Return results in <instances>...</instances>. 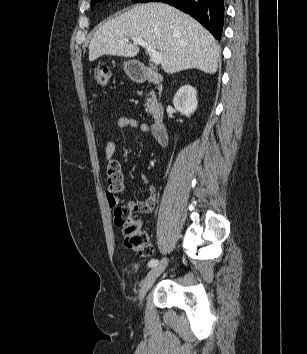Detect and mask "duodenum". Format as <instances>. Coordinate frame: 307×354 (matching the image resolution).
I'll use <instances>...</instances> for the list:
<instances>
[{"instance_id":"obj_1","label":"duodenum","mask_w":307,"mask_h":354,"mask_svg":"<svg viewBox=\"0 0 307 354\" xmlns=\"http://www.w3.org/2000/svg\"><path fill=\"white\" fill-rule=\"evenodd\" d=\"M133 77L137 82H151L160 84L162 82L161 75L152 68L145 67L141 71L133 73ZM153 123L151 125L152 134L160 145L168 142V129L164 121V110L160 104H156L152 111Z\"/></svg>"}]
</instances>
